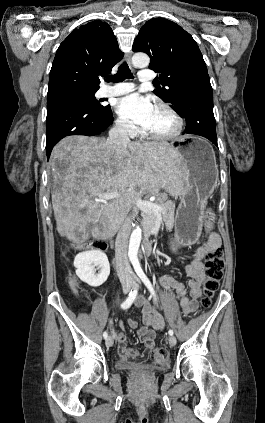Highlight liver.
Instances as JSON below:
<instances>
[{
	"mask_svg": "<svg viewBox=\"0 0 265 423\" xmlns=\"http://www.w3.org/2000/svg\"><path fill=\"white\" fill-rule=\"evenodd\" d=\"M51 166L57 231L74 243L90 234L112 238L135 201L146 194L164 189L178 196L182 190L179 156L167 142L119 146L103 138L69 136L54 147ZM113 192L120 196L103 205L96 201Z\"/></svg>",
	"mask_w": 265,
	"mask_h": 423,
	"instance_id": "liver-1",
	"label": "liver"
}]
</instances>
